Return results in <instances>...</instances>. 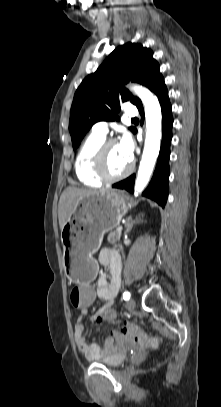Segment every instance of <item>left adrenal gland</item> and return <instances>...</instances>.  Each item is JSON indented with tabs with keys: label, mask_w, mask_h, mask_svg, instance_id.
<instances>
[{
	"label": "left adrenal gland",
	"mask_w": 221,
	"mask_h": 407,
	"mask_svg": "<svg viewBox=\"0 0 221 407\" xmlns=\"http://www.w3.org/2000/svg\"><path fill=\"white\" fill-rule=\"evenodd\" d=\"M138 222H140V218H139V217H136V219L133 220L132 217L129 216V217L127 218V220H126V223H125V228H126L125 233H129L130 230L132 229L133 225L136 224V223H138Z\"/></svg>",
	"instance_id": "a2214340"
}]
</instances>
